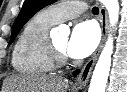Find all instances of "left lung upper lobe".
I'll use <instances>...</instances> for the list:
<instances>
[{
    "label": "left lung upper lobe",
    "mask_w": 127,
    "mask_h": 92,
    "mask_svg": "<svg viewBox=\"0 0 127 92\" xmlns=\"http://www.w3.org/2000/svg\"><path fill=\"white\" fill-rule=\"evenodd\" d=\"M56 0H25L22 9L16 18L11 38H10V44L13 42L21 28L24 26V24L40 9L44 8L47 5H50L54 3Z\"/></svg>",
    "instance_id": "left-lung-upper-lobe-1"
}]
</instances>
